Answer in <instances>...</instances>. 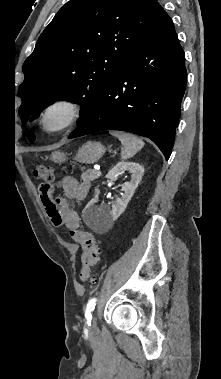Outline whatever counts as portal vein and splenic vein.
<instances>
[{
    "label": "portal vein and splenic vein",
    "instance_id": "18ae733b",
    "mask_svg": "<svg viewBox=\"0 0 221 379\" xmlns=\"http://www.w3.org/2000/svg\"><path fill=\"white\" fill-rule=\"evenodd\" d=\"M94 169H95L96 171H100V166H94Z\"/></svg>",
    "mask_w": 221,
    "mask_h": 379
}]
</instances>
